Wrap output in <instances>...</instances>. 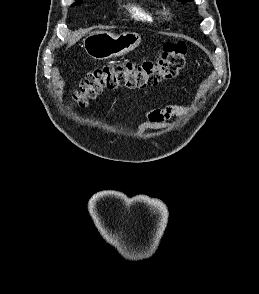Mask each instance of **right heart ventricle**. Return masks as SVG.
Segmentation results:
<instances>
[{
	"label": "right heart ventricle",
	"mask_w": 259,
	"mask_h": 294,
	"mask_svg": "<svg viewBox=\"0 0 259 294\" xmlns=\"http://www.w3.org/2000/svg\"><path fill=\"white\" fill-rule=\"evenodd\" d=\"M129 13L133 19L138 21L153 23L155 20L154 14L139 4H131L129 6Z\"/></svg>",
	"instance_id": "e07e8e85"
}]
</instances>
